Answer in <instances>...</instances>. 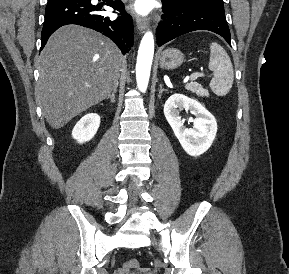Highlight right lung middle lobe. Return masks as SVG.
<instances>
[{
	"mask_svg": "<svg viewBox=\"0 0 289 274\" xmlns=\"http://www.w3.org/2000/svg\"><path fill=\"white\" fill-rule=\"evenodd\" d=\"M54 1H58V0H54ZM48 2H52V1L48 0Z\"/></svg>",
	"mask_w": 289,
	"mask_h": 274,
	"instance_id": "obj_1",
	"label": "right lung middle lobe"
}]
</instances>
